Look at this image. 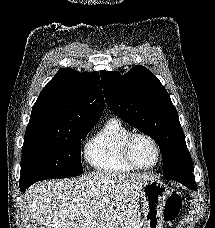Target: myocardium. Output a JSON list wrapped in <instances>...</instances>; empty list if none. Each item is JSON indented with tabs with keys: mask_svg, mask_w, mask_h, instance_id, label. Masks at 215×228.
<instances>
[{
	"mask_svg": "<svg viewBox=\"0 0 215 228\" xmlns=\"http://www.w3.org/2000/svg\"><path fill=\"white\" fill-rule=\"evenodd\" d=\"M138 138L147 139L152 144V146L156 152V161L153 165H151L149 167H141V166L137 165L133 159L132 148H133L134 142ZM122 154H123L124 160L127 163V165L129 167H131L133 170H139V171H151V170L155 169L159 165V163L161 161V157H162L161 149H160L158 142L155 140V138H153L151 135H149L145 132H132L123 141Z\"/></svg>",
	"mask_w": 215,
	"mask_h": 228,
	"instance_id": "1",
	"label": "myocardium"
}]
</instances>
